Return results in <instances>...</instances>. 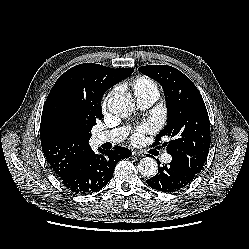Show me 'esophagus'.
<instances>
[{"mask_svg":"<svg viewBox=\"0 0 249 249\" xmlns=\"http://www.w3.org/2000/svg\"><path fill=\"white\" fill-rule=\"evenodd\" d=\"M132 154L134 156H144V152L143 151H135V150H133Z\"/></svg>","mask_w":249,"mask_h":249,"instance_id":"34e87169","label":"esophagus"}]
</instances>
